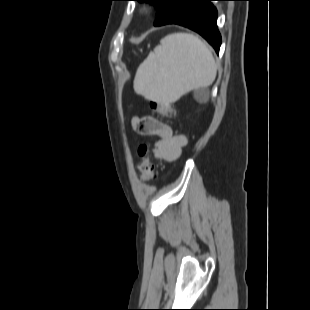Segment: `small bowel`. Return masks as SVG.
<instances>
[{"instance_id":"c3829d8e","label":"small bowel","mask_w":310,"mask_h":310,"mask_svg":"<svg viewBox=\"0 0 310 310\" xmlns=\"http://www.w3.org/2000/svg\"><path fill=\"white\" fill-rule=\"evenodd\" d=\"M132 127L141 134L159 137L152 149L154 156L158 159L176 160L187 143L184 135L173 133L170 126L149 115L133 117Z\"/></svg>"}]
</instances>
